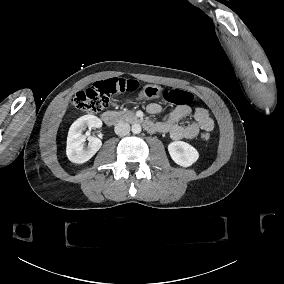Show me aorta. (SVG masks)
<instances>
[{
	"label": "aorta",
	"mask_w": 284,
	"mask_h": 284,
	"mask_svg": "<svg viewBox=\"0 0 284 284\" xmlns=\"http://www.w3.org/2000/svg\"><path fill=\"white\" fill-rule=\"evenodd\" d=\"M131 130L134 134H139L141 132V125L137 123L133 124Z\"/></svg>",
	"instance_id": "obj_1"
}]
</instances>
